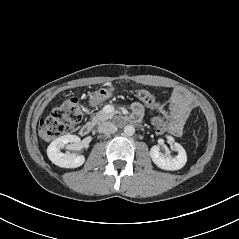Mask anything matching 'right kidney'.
I'll use <instances>...</instances> for the list:
<instances>
[{
    "label": "right kidney",
    "mask_w": 239,
    "mask_h": 239,
    "mask_svg": "<svg viewBox=\"0 0 239 239\" xmlns=\"http://www.w3.org/2000/svg\"><path fill=\"white\" fill-rule=\"evenodd\" d=\"M80 141L78 136L70 134L56 138L47 148L48 158L52 163L63 168H77L81 166L85 162L83 155L61 152V149L67 144L70 143V148H75L79 145Z\"/></svg>",
    "instance_id": "1"
}]
</instances>
